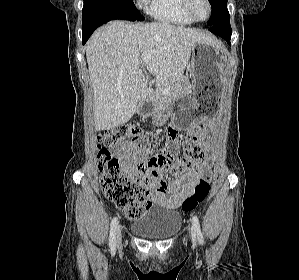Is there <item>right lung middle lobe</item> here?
I'll return each instance as SVG.
<instances>
[{
	"instance_id": "right-lung-middle-lobe-1",
	"label": "right lung middle lobe",
	"mask_w": 299,
	"mask_h": 280,
	"mask_svg": "<svg viewBox=\"0 0 299 280\" xmlns=\"http://www.w3.org/2000/svg\"><path fill=\"white\" fill-rule=\"evenodd\" d=\"M127 11H129L136 19L143 21L144 17L140 14L138 9L135 7L133 0H114Z\"/></svg>"
}]
</instances>
